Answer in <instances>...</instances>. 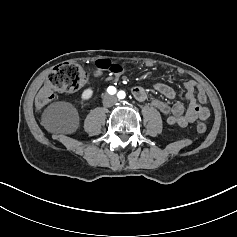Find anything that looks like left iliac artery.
Segmentation results:
<instances>
[{
  "label": "left iliac artery",
  "instance_id": "1",
  "mask_svg": "<svg viewBox=\"0 0 237 237\" xmlns=\"http://www.w3.org/2000/svg\"><path fill=\"white\" fill-rule=\"evenodd\" d=\"M117 96H118V98L123 99V98H125V92L119 91Z\"/></svg>",
  "mask_w": 237,
  "mask_h": 237
}]
</instances>
